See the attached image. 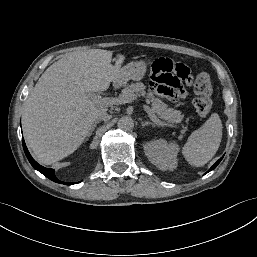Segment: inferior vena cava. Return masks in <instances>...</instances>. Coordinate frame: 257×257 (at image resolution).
<instances>
[{"instance_id": "obj_1", "label": "inferior vena cava", "mask_w": 257, "mask_h": 257, "mask_svg": "<svg viewBox=\"0 0 257 257\" xmlns=\"http://www.w3.org/2000/svg\"><path fill=\"white\" fill-rule=\"evenodd\" d=\"M96 119L98 120H103V121H109L111 119V115H109L107 112L105 111H102V112H99L97 115H96Z\"/></svg>"}]
</instances>
